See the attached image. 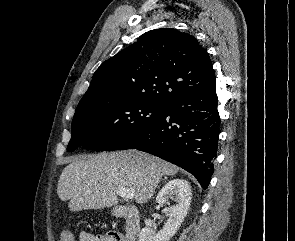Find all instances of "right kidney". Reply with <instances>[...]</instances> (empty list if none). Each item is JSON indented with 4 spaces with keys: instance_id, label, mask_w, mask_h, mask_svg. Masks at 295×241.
<instances>
[{
    "instance_id": "obj_1",
    "label": "right kidney",
    "mask_w": 295,
    "mask_h": 241,
    "mask_svg": "<svg viewBox=\"0 0 295 241\" xmlns=\"http://www.w3.org/2000/svg\"><path fill=\"white\" fill-rule=\"evenodd\" d=\"M191 196V186L187 180L173 179L166 183L157 194L156 203L162 206L169 204V201L172 200L176 204L167 209L169 218L163 229L156 233L149 221L148 226L142 229L139 241H169L176 234L187 215Z\"/></svg>"
}]
</instances>
